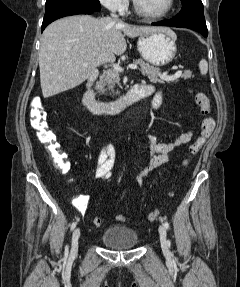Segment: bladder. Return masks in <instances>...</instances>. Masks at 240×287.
<instances>
[{"label":"bladder","mask_w":240,"mask_h":287,"mask_svg":"<svg viewBox=\"0 0 240 287\" xmlns=\"http://www.w3.org/2000/svg\"><path fill=\"white\" fill-rule=\"evenodd\" d=\"M101 242L112 249H129L135 247L139 238L135 230L128 226H112L101 235Z\"/></svg>","instance_id":"31cf9c89"}]
</instances>
